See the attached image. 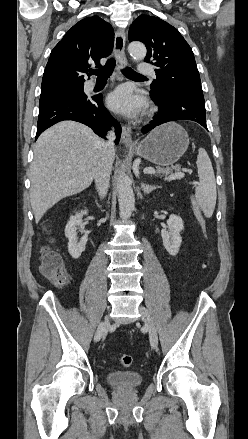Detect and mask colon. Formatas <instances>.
<instances>
[{
  "instance_id": "obj_1",
  "label": "colon",
  "mask_w": 248,
  "mask_h": 439,
  "mask_svg": "<svg viewBox=\"0 0 248 439\" xmlns=\"http://www.w3.org/2000/svg\"><path fill=\"white\" fill-rule=\"evenodd\" d=\"M190 202L195 218L204 237H206V219L202 214L198 202L193 196L190 197ZM210 256L211 253L208 251L207 257L210 258ZM40 271L44 277L58 286L65 284L68 280V275L62 257L48 246L43 247L41 250ZM119 362L122 366L129 367L133 362V358L131 355L123 354L119 357Z\"/></svg>"
}]
</instances>
